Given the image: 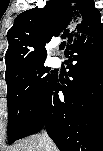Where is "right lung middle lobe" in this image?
<instances>
[{
	"label": "right lung middle lobe",
	"mask_w": 103,
	"mask_h": 151,
	"mask_svg": "<svg viewBox=\"0 0 103 151\" xmlns=\"http://www.w3.org/2000/svg\"><path fill=\"white\" fill-rule=\"evenodd\" d=\"M56 75L43 63L35 64L13 77L8 89V141L20 139L36 114Z\"/></svg>",
	"instance_id": "right-lung-middle-lobe-1"
}]
</instances>
